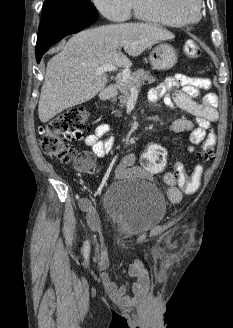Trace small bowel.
<instances>
[{
	"mask_svg": "<svg viewBox=\"0 0 233 328\" xmlns=\"http://www.w3.org/2000/svg\"><path fill=\"white\" fill-rule=\"evenodd\" d=\"M210 87L211 82L208 78L176 74L166 78L148 92L150 101L156 102L163 99L165 106L169 108L178 107L194 116L195 122L181 118L173 121L170 125V131L174 133H189L188 151L191 153L195 152L196 145L201 144L206 139L207 130L211 123L216 122L219 118L217 96L214 93L206 94L202 103L195 101L201 90H208ZM109 132L110 126L107 123H101L92 134L85 137L84 143L91 148L94 154L104 157L110 152L113 145V137L109 135ZM116 176L119 179H139L146 178L149 174L138 163L137 156L129 153L119 162ZM163 180L167 186L168 199L172 203H179L183 195L177 185V178L174 173H165ZM79 206L82 211L86 212L89 224L93 228L99 229L100 221L91 201L87 198H81L79 199ZM127 271L135 279L132 293H128L124 285L113 280L111 271L103 272L101 275L102 284L112 300L124 305L134 304L143 299L150 287L149 274L142 261H133Z\"/></svg>",
	"mask_w": 233,
	"mask_h": 328,
	"instance_id": "c3829d8e",
	"label": "small bowel"
}]
</instances>
